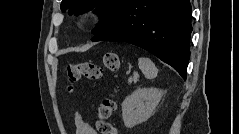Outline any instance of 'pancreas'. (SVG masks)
<instances>
[{"mask_svg":"<svg viewBox=\"0 0 239 134\" xmlns=\"http://www.w3.org/2000/svg\"><path fill=\"white\" fill-rule=\"evenodd\" d=\"M139 80V75L138 74H133V76H131L128 79V84L131 85L133 82L136 83Z\"/></svg>","mask_w":239,"mask_h":134,"instance_id":"pancreas-1","label":"pancreas"}]
</instances>
